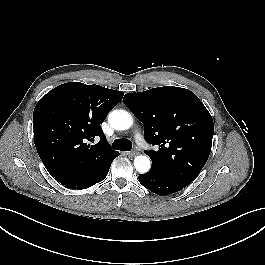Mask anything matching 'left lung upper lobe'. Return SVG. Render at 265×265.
<instances>
[{
    "label": "left lung upper lobe",
    "mask_w": 265,
    "mask_h": 265,
    "mask_svg": "<svg viewBox=\"0 0 265 265\" xmlns=\"http://www.w3.org/2000/svg\"><path fill=\"white\" fill-rule=\"evenodd\" d=\"M126 106L144 126V138L157 151H145L152 167L191 183L204 167L212 146L213 119L190 90L164 86L127 93Z\"/></svg>",
    "instance_id": "left-lung-upper-lobe-1"
}]
</instances>
